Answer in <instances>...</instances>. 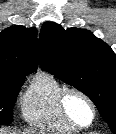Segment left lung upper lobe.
Instances as JSON below:
<instances>
[{"instance_id":"5c2ea615","label":"left lung upper lobe","mask_w":116,"mask_h":134,"mask_svg":"<svg viewBox=\"0 0 116 134\" xmlns=\"http://www.w3.org/2000/svg\"><path fill=\"white\" fill-rule=\"evenodd\" d=\"M40 67L87 95L116 134V55L86 29L52 22L40 32Z\"/></svg>"}]
</instances>
